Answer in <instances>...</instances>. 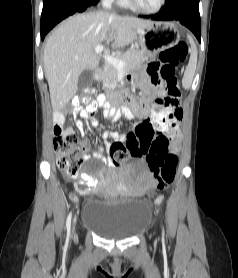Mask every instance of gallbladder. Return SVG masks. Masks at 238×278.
<instances>
[{"instance_id":"gallbladder-1","label":"gallbladder","mask_w":238,"mask_h":278,"mask_svg":"<svg viewBox=\"0 0 238 278\" xmlns=\"http://www.w3.org/2000/svg\"><path fill=\"white\" fill-rule=\"evenodd\" d=\"M93 82V71L90 69L84 70L78 79V86L80 88L85 87Z\"/></svg>"}]
</instances>
